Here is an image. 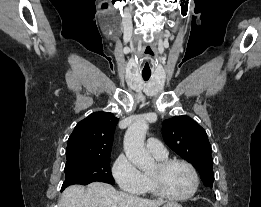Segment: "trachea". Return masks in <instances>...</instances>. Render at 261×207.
I'll use <instances>...</instances> for the list:
<instances>
[{
    "mask_svg": "<svg viewBox=\"0 0 261 207\" xmlns=\"http://www.w3.org/2000/svg\"><path fill=\"white\" fill-rule=\"evenodd\" d=\"M150 76H151V74H145V73L142 74L144 81H148Z\"/></svg>",
    "mask_w": 261,
    "mask_h": 207,
    "instance_id": "obj_1",
    "label": "trachea"
}]
</instances>
